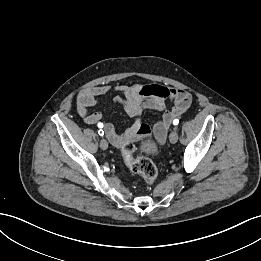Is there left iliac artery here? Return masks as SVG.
Segmentation results:
<instances>
[{"instance_id":"44dca946","label":"left iliac artery","mask_w":261,"mask_h":261,"mask_svg":"<svg viewBox=\"0 0 261 261\" xmlns=\"http://www.w3.org/2000/svg\"><path fill=\"white\" fill-rule=\"evenodd\" d=\"M178 123H179V120H178V119H175V120L173 121V125H178Z\"/></svg>"}]
</instances>
